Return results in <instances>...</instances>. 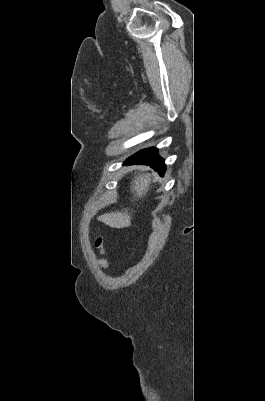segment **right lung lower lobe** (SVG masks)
<instances>
[{"label":"right lung lower lobe","mask_w":265,"mask_h":401,"mask_svg":"<svg viewBox=\"0 0 265 401\" xmlns=\"http://www.w3.org/2000/svg\"><path fill=\"white\" fill-rule=\"evenodd\" d=\"M158 150L154 147L143 149L131 157H129L125 165L127 164H144L151 166L154 170L158 171L159 174H164L165 172V163L164 159L161 158L158 154Z\"/></svg>","instance_id":"right-lung-lower-lobe-1"}]
</instances>
